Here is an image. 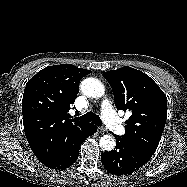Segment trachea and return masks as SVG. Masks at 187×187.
<instances>
[{
  "mask_svg": "<svg viewBox=\"0 0 187 187\" xmlns=\"http://www.w3.org/2000/svg\"><path fill=\"white\" fill-rule=\"evenodd\" d=\"M80 119L85 121H92L98 126L102 124L99 115L95 112H88L84 116L80 117Z\"/></svg>",
  "mask_w": 187,
  "mask_h": 187,
  "instance_id": "1",
  "label": "trachea"
}]
</instances>
